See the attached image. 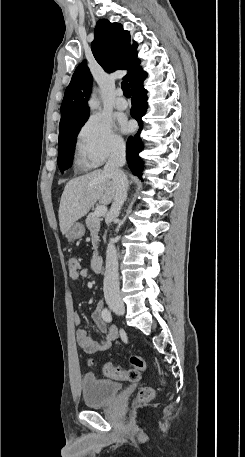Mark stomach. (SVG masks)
I'll use <instances>...</instances> for the list:
<instances>
[{
  "label": "stomach",
  "mask_w": 245,
  "mask_h": 457,
  "mask_svg": "<svg viewBox=\"0 0 245 457\" xmlns=\"http://www.w3.org/2000/svg\"><path fill=\"white\" fill-rule=\"evenodd\" d=\"M84 233V224H81V222H73L68 233H66V237L69 243H71V241H74V239H80V237H83Z\"/></svg>",
  "instance_id": "1"
}]
</instances>
